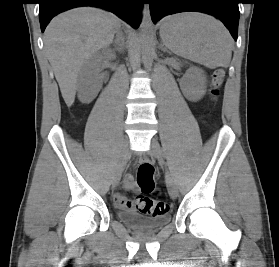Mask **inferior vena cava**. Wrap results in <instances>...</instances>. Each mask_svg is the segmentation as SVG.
<instances>
[{
	"instance_id": "obj_1",
	"label": "inferior vena cava",
	"mask_w": 279,
	"mask_h": 267,
	"mask_svg": "<svg viewBox=\"0 0 279 267\" xmlns=\"http://www.w3.org/2000/svg\"><path fill=\"white\" fill-rule=\"evenodd\" d=\"M120 35H121V32H117V41H118V43H119V41H120Z\"/></svg>"
}]
</instances>
